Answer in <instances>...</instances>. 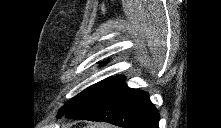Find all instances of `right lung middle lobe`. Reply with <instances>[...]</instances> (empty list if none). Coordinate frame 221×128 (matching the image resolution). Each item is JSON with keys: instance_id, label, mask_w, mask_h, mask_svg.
Listing matches in <instances>:
<instances>
[{"instance_id": "right-lung-middle-lobe-1", "label": "right lung middle lobe", "mask_w": 221, "mask_h": 128, "mask_svg": "<svg viewBox=\"0 0 221 128\" xmlns=\"http://www.w3.org/2000/svg\"><path fill=\"white\" fill-rule=\"evenodd\" d=\"M125 80L124 77H111L105 79L97 84H94L83 92L72 98L69 102H67L58 113V116H62L70 111H73L79 107L88 105L92 102L99 100L104 97L108 93L112 92L119 85L123 83Z\"/></svg>"}]
</instances>
